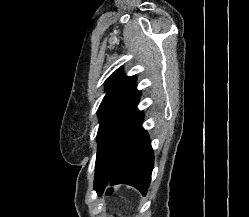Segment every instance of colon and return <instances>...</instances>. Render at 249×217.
Wrapping results in <instances>:
<instances>
[{
    "instance_id": "colon-1",
    "label": "colon",
    "mask_w": 249,
    "mask_h": 217,
    "mask_svg": "<svg viewBox=\"0 0 249 217\" xmlns=\"http://www.w3.org/2000/svg\"><path fill=\"white\" fill-rule=\"evenodd\" d=\"M107 194H108V195H111V194H112V190L109 189V190L107 191Z\"/></svg>"
}]
</instances>
